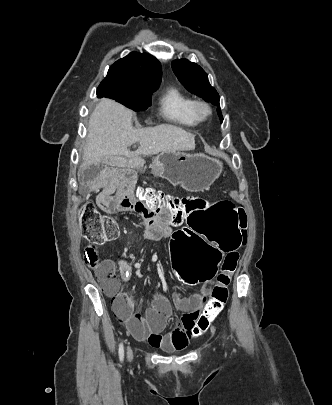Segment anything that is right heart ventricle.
<instances>
[{
    "mask_svg": "<svg viewBox=\"0 0 332 405\" xmlns=\"http://www.w3.org/2000/svg\"><path fill=\"white\" fill-rule=\"evenodd\" d=\"M195 100L177 87L167 88L159 97V112L169 122L183 126H196Z\"/></svg>",
    "mask_w": 332,
    "mask_h": 405,
    "instance_id": "e07e8e85",
    "label": "right heart ventricle"
}]
</instances>
